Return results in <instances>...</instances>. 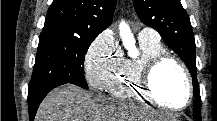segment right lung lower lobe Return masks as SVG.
<instances>
[{"label":"right lung lower lobe","instance_id":"1","mask_svg":"<svg viewBox=\"0 0 217 121\" xmlns=\"http://www.w3.org/2000/svg\"><path fill=\"white\" fill-rule=\"evenodd\" d=\"M69 82L67 81H54V82H50L38 89H35L33 91H30L28 93V106H29V117L30 120L32 121L34 119V116L37 112V109L40 105V103L42 102V100L44 99V97L48 94V92H50L53 88L63 85V84H67Z\"/></svg>","mask_w":217,"mask_h":121}]
</instances>
